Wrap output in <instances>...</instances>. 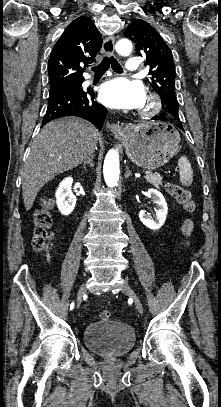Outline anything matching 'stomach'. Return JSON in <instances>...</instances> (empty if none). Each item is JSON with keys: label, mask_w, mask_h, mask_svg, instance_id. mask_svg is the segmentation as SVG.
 <instances>
[{"label": "stomach", "mask_w": 221, "mask_h": 407, "mask_svg": "<svg viewBox=\"0 0 221 407\" xmlns=\"http://www.w3.org/2000/svg\"><path fill=\"white\" fill-rule=\"evenodd\" d=\"M122 140L129 159L149 170L165 165L178 152L181 141L173 125L160 121L132 125Z\"/></svg>", "instance_id": "0dacf381"}]
</instances>
